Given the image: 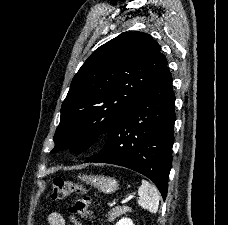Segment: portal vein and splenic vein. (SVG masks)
I'll use <instances>...</instances> for the list:
<instances>
[{
	"instance_id": "1",
	"label": "portal vein and splenic vein",
	"mask_w": 228,
	"mask_h": 225,
	"mask_svg": "<svg viewBox=\"0 0 228 225\" xmlns=\"http://www.w3.org/2000/svg\"><path fill=\"white\" fill-rule=\"evenodd\" d=\"M117 200V199H116ZM112 200L110 202V207H116L117 201ZM131 200H138V195H130V197H126V200H122V205H128Z\"/></svg>"
}]
</instances>
